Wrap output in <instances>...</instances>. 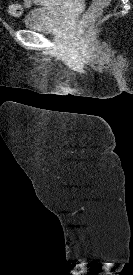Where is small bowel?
<instances>
[{
    "label": "small bowel",
    "mask_w": 133,
    "mask_h": 275,
    "mask_svg": "<svg viewBox=\"0 0 133 275\" xmlns=\"http://www.w3.org/2000/svg\"><path fill=\"white\" fill-rule=\"evenodd\" d=\"M31 1H32V0H24V4H25L26 6H29V5L31 4Z\"/></svg>",
    "instance_id": "obj_1"
}]
</instances>
